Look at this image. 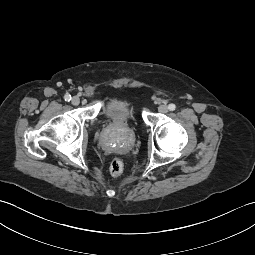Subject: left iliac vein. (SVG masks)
I'll use <instances>...</instances> for the list:
<instances>
[{"label": "left iliac vein", "instance_id": "left-iliac-vein-1", "mask_svg": "<svg viewBox=\"0 0 255 255\" xmlns=\"http://www.w3.org/2000/svg\"><path fill=\"white\" fill-rule=\"evenodd\" d=\"M158 111H159L160 113H167V112H168V107H167V105H164V104L160 105V106L158 107Z\"/></svg>", "mask_w": 255, "mask_h": 255}]
</instances>
